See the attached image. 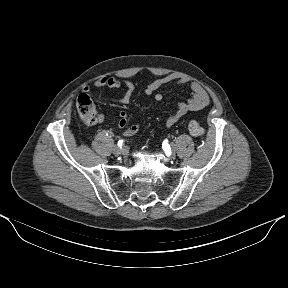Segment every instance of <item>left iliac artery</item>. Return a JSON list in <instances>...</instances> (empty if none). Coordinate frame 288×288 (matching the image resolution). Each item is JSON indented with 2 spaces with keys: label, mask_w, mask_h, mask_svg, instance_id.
Instances as JSON below:
<instances>
[{
  "label": "left iliac artery",
  "mask_w": 288,
  "mask_h": 288,
  "mask_svg": "<svg viewBox=\"0 0 288 288\" xmlns=\"http://www.w3.org/2000/svg\"><path fill=\"white\" fill-rule=\"evenodd\" d=\"M163 142L164 143H169V144H172L174 142V139L172 137H169V138H164L163 139ZM165 149V148H164Z\"/></svg>",
  "instance_id": "left-iliac-artery-1"
}]
</instances>
